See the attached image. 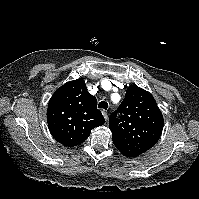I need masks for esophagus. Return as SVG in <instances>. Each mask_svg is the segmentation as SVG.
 Here are the masks:
<instances>
[{"instance_id": "1", "label": "esophagus", "mask_w": 199, "mask_h": 199, "mask_svg": "<svg viewBox=\"0 0 199 199\" xmlns=\"http://www.w3.org/2000/svg\"><path fill=\"white\" fill-rule=\"evenodd\" d=\"M102 114H103L105 120L107 121V120H108V114H107V112H106V111H103Z\"/></svg>"}]
</instances>
